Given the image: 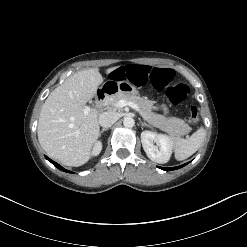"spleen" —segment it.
Returning a JSON list of instances; mask_svg holds the SVG:
<instances>
[{"instance_id": "obj_1", "label": "spleen", "mask_w": 247, "mask_h": 247, "mask_svg": "<svg viewBox=\"0 0 247 247\" xmlns=\"http://www.w3.org/2000/svg\"><path fill=\"white\" fill-rule=\"evenodd\" d=\"M205 135V129L200 127L187 139L172 137L176 160L182 161L193 155L202 145Z\"/></svg>"}]
</instances>
